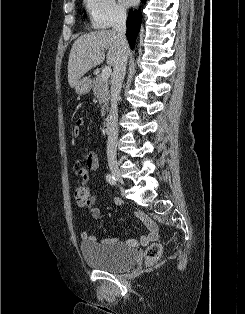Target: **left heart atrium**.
<instances>
[{
	"mask_svg": "<svg viewBox=\"0 0 245 314\" xmlns=\"http://www.w3.org/2000/svg\"><path fill=\"white\" fill-rule=\"evenodd\" d=\"M136 0H121V2L125 5H132Z\"/></svg>",
	"mask_w": 245,
	"mask_h": 314,
	"instance_id": "obj_1",
	"label": "left heart atrium"
}]
</instances>
